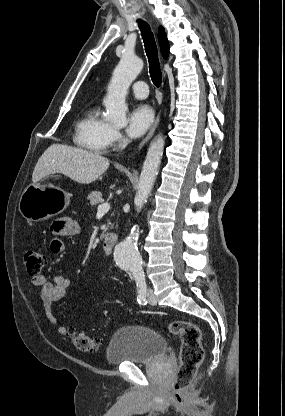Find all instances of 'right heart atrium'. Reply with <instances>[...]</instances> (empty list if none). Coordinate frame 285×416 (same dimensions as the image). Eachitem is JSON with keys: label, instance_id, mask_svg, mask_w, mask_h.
Masks as SVG:
<instances>
[{"label": "right heart atrium", "instance_id": "1", "mask_svg": "<svg viewBox=\"0 0 285 416\" xmlns=\"http://www.w3.org/2000/svg\"><path fill=\"white\" fill-rule=\"evenodd\" d=\"M123 141V137L118 128L111 126L107 137V147L108 148H116L120 145Z\"/></svg>", "mask_w": 285, "mask_h": 416}]
</instances>
